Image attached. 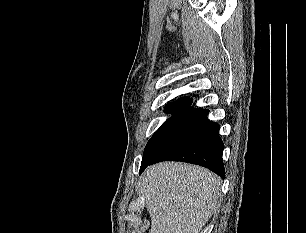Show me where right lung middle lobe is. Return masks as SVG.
<instances>
[{
  "mask_svg": "<svg viewBox=\"0 0 306 233\" xmlns=\"http://www.w3.org/2000/svg\"><path fill=\"white\" fill-rule=\"evenodd\" d=\"M166 113L172 116L162 124L148 141L143 154L142 164L153 159L170 142H172L190 123L199 117L204 110L191 108L185 103H170L165 107Z\"/></svg>",
  "mask_w": 306,
  "mask_h": 233,
  "instance_id": "right-lung-middle-lobe-1",
  "label": "right lung middle lobe"
}]
</instances>
